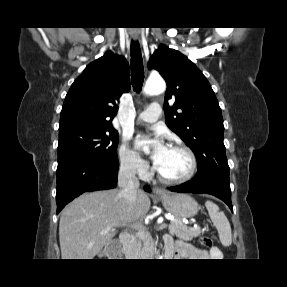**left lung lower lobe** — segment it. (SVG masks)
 I'll list each match as a JSON object with an SVG mask.
<instances>
[{"instance_id":"obj_1","label":"left lung lower lobe","mask_w":287,"mask_h":287,"mask_svg":"<svg viewBox=\"0 0 287 287\" xmlns=\"http://www.w3.org/2000/svg\"><path fill=\"white\" fill-rule=\"evenodd\" d=\"M170 191L179 192V193H207L214 195L224 201L231 211H233V207L231 204V189L229 180L215 177V178H207L200 180H191L182 185L168 187Z\"/></svg>"}]
</instances>
